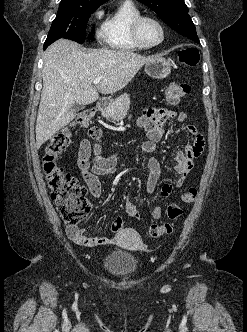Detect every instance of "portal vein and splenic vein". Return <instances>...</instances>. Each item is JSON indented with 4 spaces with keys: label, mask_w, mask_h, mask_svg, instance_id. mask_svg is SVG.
<instances>
[{
    "label": "portal vein and splenic vein",
    "mask_w": 247,
    "mask_h": 332,
    "mask_svg": "<svg viewBox=\"0 0 247 332\" xmlns=\"http://www.w3.org/2000/svg\"><path fill=\"white\" fill-rule=\"evenodd\" d=\"M101 81V78H96L93 80V83L96 85Z\"/></svg>",
    "instance_id": "1"
}]
</instances>
